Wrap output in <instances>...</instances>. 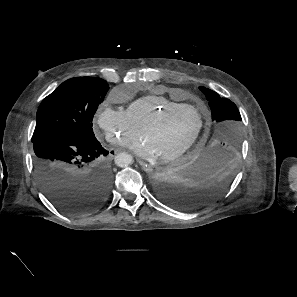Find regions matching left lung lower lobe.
<instances>
[{
  "label": "left lung lower lobe",
  "mask_w": 297,
  "mask_h": 297,
  "mask_svg": "<svg viewBox=\"0 0 297 297\" xmlns=\"http://www.w3.org/2000/svg\"><path fill=\"white\" fill-rule=\"evenodd\" d=\"M236 153L209 144L154 176L158 197L167 205L193 210L217 200L231 185Z\"/></svg>",
  "instance_id": "obj_1"
}]
</instances>
